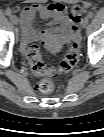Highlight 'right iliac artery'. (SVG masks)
Returning <instances> with one entry per match:
<instances>
[{
  "label": "right iliac artery",
  "instance_id": "obj_1",
  "mask_svg": "<svg viewBox=\"0 0 104 137\" xmlns=\"http://www.w3.org/2000/svg\"><path fill=\"white\" fill-rule=\"evenodd\" d=\"M5 14H6L7 16H11L12 11H11L10 9H7V10H5Z\"/></svg>",
  "mask_w": 104,
  "mask_h": 137
}]
</instances>
